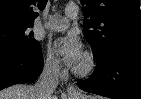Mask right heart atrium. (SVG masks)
Returning a JSON list of instances; mask_svg holds the SVG:
<instances>
[{
    "label": "right heart atrium",
    "mask_w": 141,
    "mask_h": 99,
    "mask_svg": "<svg viewBox=\"0 0 141 99\" xmlns=\"http://www.w3.org/2000/svg\"><path fill=\"white\" fill-rule=\"evenodd\" d=\"M43 69L49 75H59L61 72V64L58 58L51 52L47 51L43 58Z\"/></svg>",
    "instance_id": "1"
}]
</instances>
